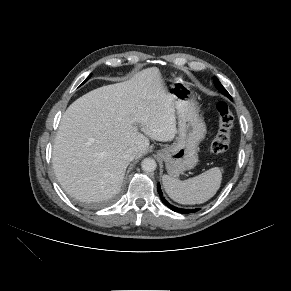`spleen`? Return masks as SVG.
Returning a JSON list of instances; mask_svg holds the SVG:
<instances>
[{"instance_id":"3e777b00","label":"spleen","mask_w":291,"mask_h":291,"mask_svg":"<svg viewBox=\"0 0 291 291\" xmlns=\"http://www.w3.org/2000/svg\"><path fill=\"white\" fill-rule=\"evenodd\" d=\"M222 171L223 169L214 167L185 181L164 175L162 182L173 201L189 205L201 204L212 198L220 188Z\"/></svg>"}]
</instances>
